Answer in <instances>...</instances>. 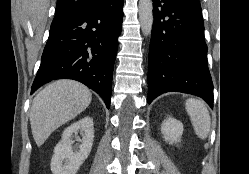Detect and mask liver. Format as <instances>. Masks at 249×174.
<instances>
[{"label":"liver","mask_w":249,"mask_h":174,"mask_svg":"<svg viewBox=\"0 0 249 174\" xmlns=\"http://www.w3.org/2000/svg\"><path fill=\"white\" fill-rule=\"evenodd\" d=\"M91 100L90 90L74 80H58L41 90L30 111L32 135L37 146H41L58 127L83 112Z\"/></svg>","instance_id":"obj_1"}]
</instances>
